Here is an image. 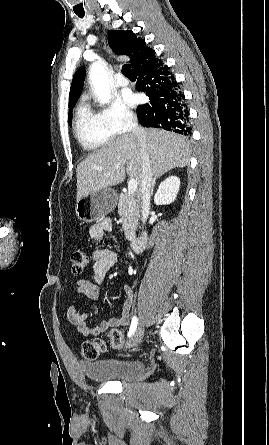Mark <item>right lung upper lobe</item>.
Here are the masks:
<instances>
[{
  "instance_id": "1",
  "label": "right lung upper lobe",
  "mask_w": 269,
  "mask_h": 445,
  "mask_svg": "<svg viewBox=\"0 0 269 445\" xmlns=\"http://www.w3.org/2000/svg\"><path fill=\"white\" fill-rule=\"evenodd\" d=\"M108 42L115 53L119 55H127L130 57V63L133 70H137L142 64L148 62L155 57V51L146 46L145 40L137 38L132 31H116L109 30ZM85 70L80 68L74 75L70 95L69 106L77 101L83 84Z\"/></svg>"
}]
</instances>
